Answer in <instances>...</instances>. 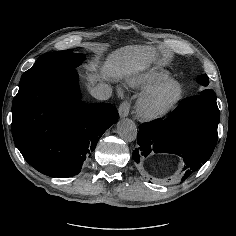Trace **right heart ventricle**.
<instances>
[{
    "label": "right heart ventricle",
    "instance_id": "obj_1",
    "mask_svg": "<svg viewBox=\"0 0 236 236\" xmlns=\"http://www.w3.org/2000/svg\"><path fill=\"white\" fill-rule=\"evenodd\" d=\"M170 79L171 74L168 71L160 68H149L132 75L127 84L129 88L135 91H143Z\"/></svg>",
    "mask_w": 236,
    "mask_h": 236
}]
</instances>
